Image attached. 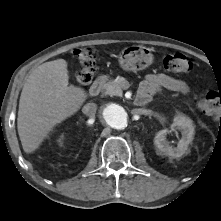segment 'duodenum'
I'll use <instances>...</instances> for the list:
<instances>
[{"label": "duodenum", "mask_w": 221, "mask_h": 221, "mask_svg": "<svg viewBox=\"0 0 221 221\" xmlns=\"http://www.w3.org/2000/svg\"><path fill=\"white\" fill-rule=\"evenodd\" d=\"M103 81H104V78L102 76H99L93 83L92 85L90 86V89H89V94L92 96V97H95V96H98L101 89H102V85H103ZM150 102V97L145 95V94H142V93H139L136 98H135V104L136 105H139V106H144V105H147L148 103Z\"/></svg>", "instance_id": "duodenum-1"}]
</instances>
